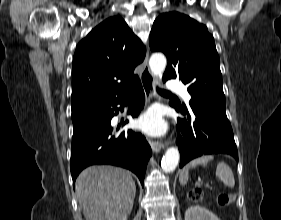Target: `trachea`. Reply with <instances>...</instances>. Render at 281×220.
I'll return each instance as SVG.
<instances>
[{
	"instance_id": "trachea-1",
	"label": "trachea",
	"mask_w": 281,
	"mask_h": 220,
	"mask_svg": "<svg viewBox=\"0 0 281 220\" xmlns=\"http://www.w3.org/2000/svg\"><path fill=\"white\" fill-rule=\"evenodd\" d=\"M158 92L159 93H162V94H171L170 92L166 91V90H163V89H160V88H157Z\"/></svg>"
}]
</instances>
